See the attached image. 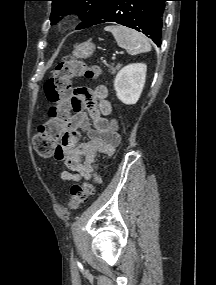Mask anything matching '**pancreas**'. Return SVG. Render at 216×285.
I'll list each match as a JSON object with an SVG mask.
<instances>
[{
    "mask_svg": "<svg viewBox=\"0 0 216 285\" xmlns=\"http://www.w3.org/2000/svg\"><path fill=\"white\" fill-rule=\"evenodd\" d=\"M120 64H118L116 67H114V64H112L111 66H109V71L111 74H115L116 70H118L120 68Z\"/></svg>",
    "mask_w": 216,
    "mask_h": 285,
    "instance_id": "cf45deb5",
    "label": "pancreas"
}]
</instances>
